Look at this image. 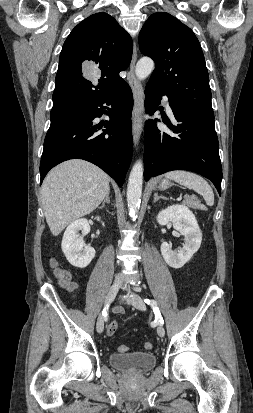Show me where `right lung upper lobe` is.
Instances as JSON below:
<instances>
[{
  "instance_id": "1",
  "label": "right lung upper lobe",
  "mask_w": 253,
  "mask_h": 413,
  "mask_svg": "<svg viewBox=\"0 0 253 413\" xmlns=\"http://www.w3.org/2000/svg\"><path fill=\"white\" fill-rule=\"evenodd\" d=\"M132 50L130 35L109 14L79 23L60 53L50 117L70 115L123 84L119 72L129 66ZM87 65L95 79L83 76Z\"/></svg>"
}]
</instances>
